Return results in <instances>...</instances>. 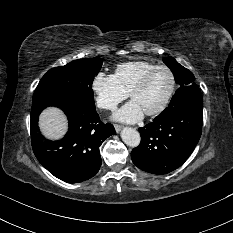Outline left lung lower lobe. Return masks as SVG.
Listing matches in <instances>:
<instances>
[{
  "label": "left lung lower lobe",
  "instance_id": "obj_1",
  "mask_svg": "<svg viewBox=\"0 0 233 233\" xmlns=\"http://www.w3.org/2000/svg\"><path fill=\"white\" fill-rule=\"evenodd\" d=\"M203 123V99L192 96L164 117L139 128L141 143L131 152L133 163L149 173L166 174L180 167L197 145Z\"/></svg>",
  "mask_w": 233,
  "mask_h": 233
}]
</instances>
